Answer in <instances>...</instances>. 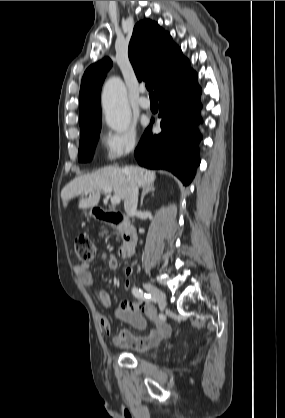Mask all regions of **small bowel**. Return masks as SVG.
<instances>
[{"label": "small bowel", "mask_w": 285, "mask_h": 418, "mask_svg": "<svg viewBox=\"0 0 285 418\" xmlns=\"http://www.w3.org/2000/svg\"><path fill=\"white\" fill-rule=\"evenodd\" d=\"M101 259L109 269L115 270L118 267V260L112 254H104L102 255ZM75 272L79 280L86 287H93L94 281L92 274L89 272V263L77 264L75 266ZM133 272L134 267L131 265L126 266L123 270V275L125 278L124 286L126 288L130 287L132 284L130 277L132 276ZM99 297L103 305L106 307L112 306L111 298L107 292L100 291ZM113 309L118 316L122 317L138 328H141L144 324L145 319L143 315L149 320H154V308L147 302L123 300L119 302ZM100 322L105 333L109 336L113 335L114 329L111 320L102 314L100 315ZM170 333V326L164 322L158 321L155 323V327L150 332V334L146 336H136L126 328H120L119 333L113 338V343L117 347L128 349H149L160 343V341L164 338L168 337Z\"/></svg>", "instance_id": "obj_1"}]
</instances>
